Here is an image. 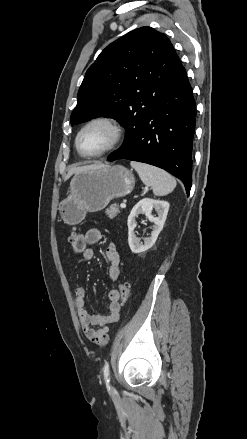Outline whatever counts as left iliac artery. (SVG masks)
<instances>
[{
    "label": "left iliac artery",
    "mask_w": 247,
    "mask_h": 439,
    "mask_svg": "<svg viewBox=\"0 0 247 439\" xmlns=\"http://www.w3.org/2000/svg\"><path fill=\"white\" fill-rule=\"evenodd\" d=\"M103 374H104V380L106 383L110 382V367H109V363L105 362V365L103 367Z\"/></svg>",
    "instance_id": "left-iliac-artery-1"
}]
</instances>
